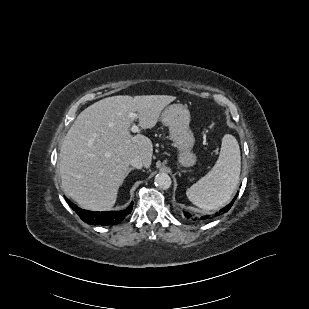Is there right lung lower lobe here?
I'll list each match as a JSON object with an SVG mask.
<instances>
[{
  "mask_svg": "<svg viewBox=\"0 0 309 309\" xmlns=\"http://www.w3.org/2000/svg\"><path fill=\"white\" fill-rule=\"evenodd\" d=\"M69 206L78 214V216L88 224L94 225H116L121 222L131 211L133 208V202H131L130 206L127 207L125 210L113 212V211H106V212H93L83 210L72 202H70L67 198H65Z\"/></svg>",
  "mask_w": 309,
  "mask_h": 309,
  "instance_id": "98d812e1",
  "label": "right lung lower lobe"
}]
</instances>
